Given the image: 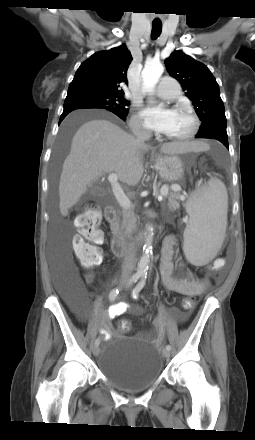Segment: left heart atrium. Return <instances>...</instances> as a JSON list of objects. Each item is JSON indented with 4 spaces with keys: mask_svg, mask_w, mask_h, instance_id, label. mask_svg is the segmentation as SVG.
<instances>
[{
    "mask_svg": "<svg viewBox=\"0 0 255 440\" xmlns=\"http://www.w3.org/2000/svg\"><path fill=\"white\" fill-rule=\"evenodd\" d=\"M174 114V110L159 107H147L143 111L148 127L161 133H167L170 130Z\"/></svg>",
    "mask_w": 255,
    "mask_h": 440,
    "instance_id": "obj_1",
    "label": "left heart atrium"
}]
</instances>
